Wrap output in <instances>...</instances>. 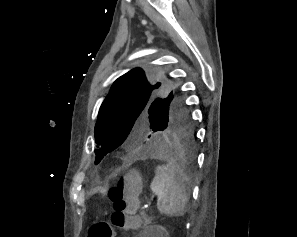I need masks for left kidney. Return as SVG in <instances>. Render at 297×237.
<instances>
[{
    "label": "left kidney",
    "mask_w": 297,
    "mask_h": 237,
    "mask_svg": "<svg viewBox=\"0 0 297 237\" xmlns=\"http://www.w3.org/2000/svg\"><path fill=\"white\" fill-rule=\"evenodd\" d=\"M156 230H157V234H158V237H166V229L162 226H157L156 227Z\"/></svg>",
    "instance_id": "left-kidney-1"
}]
</instances>
